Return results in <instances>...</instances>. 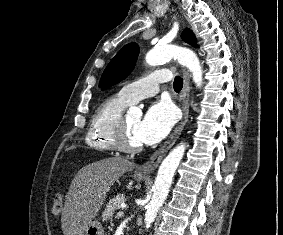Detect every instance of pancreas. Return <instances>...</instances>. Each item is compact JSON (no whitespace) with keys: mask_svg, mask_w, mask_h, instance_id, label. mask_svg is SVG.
I'll return each mask as SVG.
<instances>
[{"mask_svg":"<svg viewBox=\"0 0 283 235\" xmlns=\"http://www.w3.org/2000/svg\"><path fill=\"white\" fill-rule=\"evenodd\" d=\"M126 201V197L124 194H118L114 198L110 199L104 212L102 213V217L104 221H111L113 214L116 210L121 209V203Z\"/></svg>","mask_w":283,"mask_h":235,"instance_id":"obj_1","label":"pancreas"}]
</instances>
